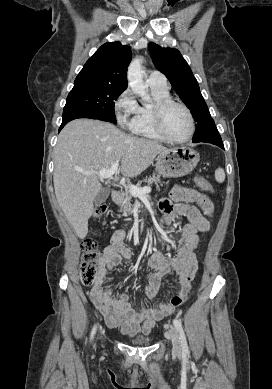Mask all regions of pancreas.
<instances>
[{
  "instance_id": "obj_1",
  "label": "pancreas",
  "mask_w": 272,
  "mask_h": 389,
  "mask_svg": "<svg viewBox=\"0 0 272 389\" xmlns=\"http://www.w3.org/2000/svg\"><path fill=\"white\" fill-rule=\"evenodd\" d=\"M147 183L148 185L155 184L158 187V183H160V176L153 175L152 177L146 178L143 181L138 182L137 187L141 188L142 183ZM122 202L120 203L121 209L123 212L131 211V201L133 196L129 191L122 192L121 194Z\"/></svg>"
}]
</instances>
